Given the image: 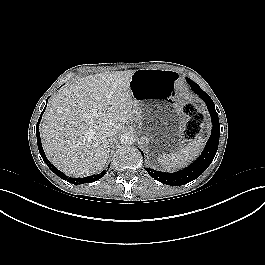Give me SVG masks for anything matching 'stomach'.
<instances>
[{"label":"stomach","instance_id":"stomach-1","mask_svg":"<svg viewBox=\"0 0 265 265\" xmlns=\"http://www.w3.org/2000/svg\"><path fill=\"white\" fill-rule=\"evenodd\" d=\"M178 74L170 70L139 69L130 80V90L147 153L158 161L174 156L183 137L181 102L175 101Z\"/></svg>","mask_w":265,"mask_h":265}]
</instances>
